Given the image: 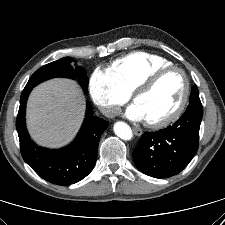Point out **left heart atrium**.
<instances>
[{"instance_id":"1","label":"left heart atrium","mask_w":225,"mask_h":225,"mask_svg":"<svg viewBox=\"0 0 225 225\" xmlns=\"http://www.w3.org/2000/svg\"><path fill=\"white\" fill-rule=\"evenodd\" d=\"M126 116L134 121L145 120L144 115L137 104L130 105L126 110Z\"/></svg>"}]
</instances>
